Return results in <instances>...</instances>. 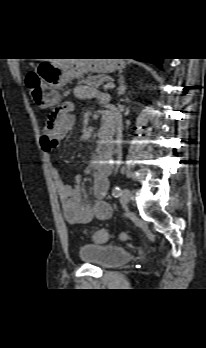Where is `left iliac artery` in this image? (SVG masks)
Here are the masks:
<instances>
[{
  "label": "left iliac artery",
  "mask_w": 206,
  "mask_h": 348,
  "mask_svg": "<svg viewBox=\"0 0 206 348\" xmlns=\"http://www.w3.org/2000/svg\"><path fill=\"white\" fill-rule=\"evenodd\" d=\"M121 194V188L119 186H115L112 190L113 197H118Z\"/></svg>",
  "instance_id": "44dca946"
}]
</instances>
